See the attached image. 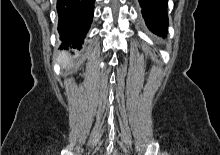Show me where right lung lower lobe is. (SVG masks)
<instances>
[{"label":"right lung lower lobe","mask_w":220,"mask_h":155,"mask_svg":"<svg viewBox=\"0 0 220 155\" xmlns=\"http://www.w3.org/2000/svg\"><path fill=\"white\" fill-rule=\"evenodd\" d=\"M95 0H57L58 32L63 45L81 48L91 25Z\"/></svg>","instance_id":"98d812e1"}]
</instances>
